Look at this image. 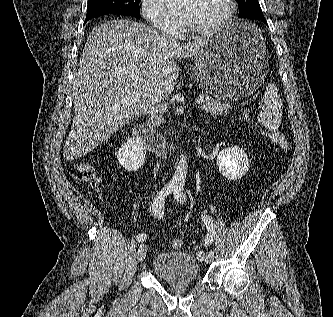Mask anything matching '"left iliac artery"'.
<instances>
[{
  "mask_svg": "<svg viewBox=\"0 0 333 317\" xmlns=\"http://www.w3.org/2000/svg\"><path fill=\"white\" fill-rule=\"evenodd\" d=\"M173 192H174V197L177 202H179V203L186 202L187 197H186L185 193L183 192V184H178L177 186H175V189ZM203 221L208 230L207 236L205 238V246H208V245L212 244V242H213V238L215 235V225H214L213 219L208 215L203 216ZM197 257L200 261H203L205 258L204 252L203 251L198 252Z\"/></svg>",
  "mask_w": 333,
  "mask_h": 317,
  "instance_id": "44dca946",
  "label": "left iliac artery"
}]
</instances>
